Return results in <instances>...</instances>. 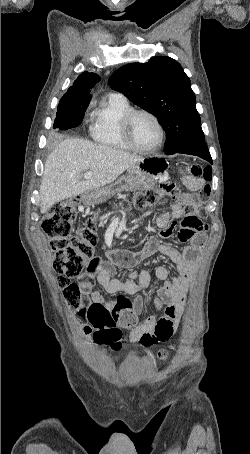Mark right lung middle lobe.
I'll list each match as a JSON object with an SVG mask.
<instances>
[{
  "mask_svg": "<svg viewBox=\"0 0 250 454\" xmlns=\"http://www.w3.org/2000/svg\"><path fill=\"white\" fill-rule=\"evenodd\" d=\"M88 105L89 102L59 103L53 128L67 130L77 127L82 122Z\"/></svg>",
  "mask_w": 250,
  "mask_h": 454,
  "instance_id": "right-lung-middle-lobe-1",
  "label": "right lung middle lobe"
}]
</instances>
